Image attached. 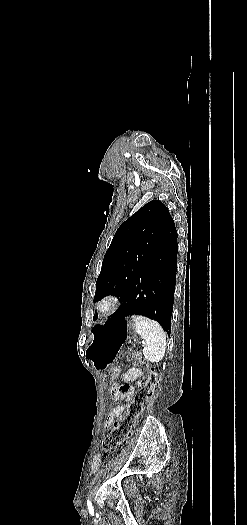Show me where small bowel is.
Wrapping results in <instances>:
<instances>
[{"instance_id": "1", "label": "small bowel", "mask_w": 247, "mask_h": 525, "mask_svg": "<svg viewBox=\"0 0 247 525\" xmlns=\"http://www.w3.org/2000/svg\"><path fill=\"white\" fill-rule=\"evenodd\" d=\"M116 374H113V376H115ZM143 376V371L139 368H132L130 370H128L125 374H124V377H123V380L126 381V382H129V381H133V380H136L140 377ZM119 385L118 383H114L112 388H111V391L114 389V388H117ZM125 412V407L123 405H117L113 408V410L110 412V414L108 415V418H107V421H106V424L105 426L107 428L111 427L114 422L116 421L117 418L121 417ZM101 462H102V455H96L93 459V462H92V470L93 471H96L99 469L100 465H101Z\"/></svg>"}]
</instances>
